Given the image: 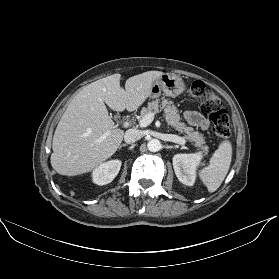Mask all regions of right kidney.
Here are the masks:
<instances>
[{
	"mask_svg": "<svg viewBox=\"0 0 279 279\" xmlns=\"http://www.w3.org/2000/svg\"><path fill=\"white\" fill-rule=\"evenodd\" d=\"M121 168V161L110 160L100 164L92 172V180L97 185H106L113 181Z\"/></svg>",
	"mask_w": 279,
	"mask_h": 279,
	"instance_id": "obj_1",
	"label": "right kidney"
}]
</instances>
